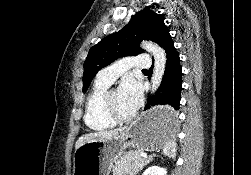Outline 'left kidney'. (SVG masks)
<instances>
[{
    "label": "left kidney",
    "instance_id": "left-kidney-1",
    "mask_svg": "<svg viewBox=\"0 0 251 175\" xmlns=\"http://www.w3.org/2000/svg\"><path fill=\"white\" fill-rule=\"evenodd\" d=\"M142 175H167L165 167H159V165H151L143 171Z\"/></svg>",
    "mask_w": 251,
    "mask_h": 175
}]
</instances>
